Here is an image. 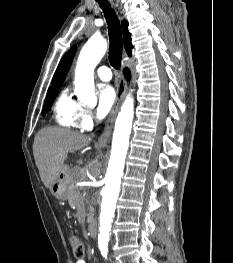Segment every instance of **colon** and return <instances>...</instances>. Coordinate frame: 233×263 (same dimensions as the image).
Wrapping results in <instances>:
<instances>
[{"label":"colon","instance_id":"1","mask_svg":"<svg viewBox=\"0 0 233 263\" xmlns=\"http://www.w3.org/2000/svg\"><path fill=\"white\" fill-rule=\"evenodd\" d=\"M70 242L73 249V255L76 260H82L85 257V245L82 239L76 235L72 234L70 236Z\"/></svg>","mask_w":233,"mask_h":263}]
</instances>
